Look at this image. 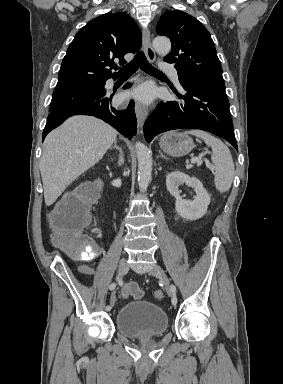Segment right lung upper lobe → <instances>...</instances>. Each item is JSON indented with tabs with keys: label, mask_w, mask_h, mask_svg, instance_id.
<instances>
[{
	"label": "right lung upper lobe",
	"mask_w": 283,
	"mask_h": 384,
	"mask_svg": "<svg viewBox=\"0 0 283 384\" xmlns=\"http://www.w3.org/2000/svg\"><path fill=\"white\" fill-rule=\"evenodd\" d=\"M141 46V32L126 13H106L91 20L74 37L63 59L55 89L75 88L117 79L114 59Z\"/></svg>",
	"instance_id": "obj_1"
}]
</instances>
